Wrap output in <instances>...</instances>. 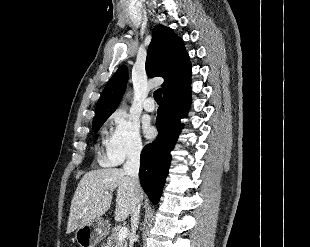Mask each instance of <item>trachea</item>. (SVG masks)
Listing matches in <instances>:
<instances>
[{"label": "trachea", "instance_id": "obj_1", "mask_svg": "<svg viewBox=\"0 0 310 247\" xmlns=\"http://www.w3.org/2000/svg\"><path fill=\"white\" fill-rule=\"evenodd\" d=\"M161 98H162V89L160 88L154 92V99L159 104L161 102Z\"/></svg>", "mask_w": 310, "mask_h": 247}]
</instances>
